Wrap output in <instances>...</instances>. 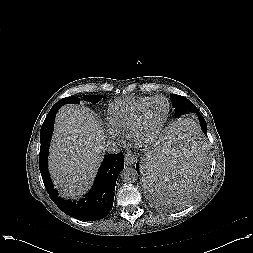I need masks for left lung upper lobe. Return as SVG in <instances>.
Instances as JSON below:
<instances>
[{"mask_svg": "<svg viewBox=\"0 0 253 253\" xmlns=\"http://www.w3.org/2000/svg\"><path fill=\"white\" fill-rule=\"evenodd\" d=\"M170 99H171L173 107L175 108V113L177 116L195 112L198 114V117H200L201 114L198 112L196 106L187 98L180 95L172 94L170 95ZM206 130H207V125L205 123V130H203V132H205Z\"/></svg>", "mask_w": 253, "mask_h": 253, "instance_id": "5c2ea615", "label": "left lung upper lobe"}]
</instances>
